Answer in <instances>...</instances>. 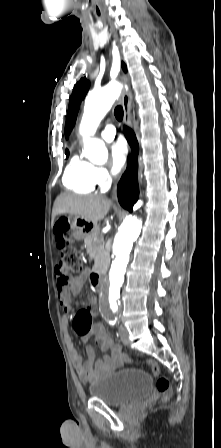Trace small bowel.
<instances>
[{"label":"small bowel","mask_w":221,"mask_h":448,"mask_svg":"<svg viewBox=\"0 0 221 448\" xmlns=\"http://www.w3.org/2000/svg\"><path fill=\"white\" fill-rule=\"evenodd\" d=\"M56 241L59 245L62 244L57 237ZM85 277L86 274L83 272L79 277L71 281V285L68 289L59 290V298L61 308L64 312V316L62 317V325L65 330L64 337L71 357L72 365L77 371L81 381L84 383H91L100 376L121 368L124 363V355L121 348L114 344L113 340L107 335L101 323L97 322L92 324L93 315L96 314V302L93 297L88 298L84 302L85 308L75 315L72 325L76 333L80 335L83 342H86L90 336H94L96 343L108 353L102 360H99L96 359L94 350L91 347H88L87 351L89 357L84 360L70 337L68 327L70 325L69 313L72 310L71 299L72 296H77L81 293L85 282ZM90 304H92L93 307L90 308ZM88 324L89 327L87 328Z\"/></svg>","instance_id":"1"}]
</instances>
